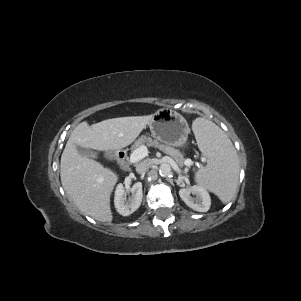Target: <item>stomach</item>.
Segmentation results:
<instances>
[{
	"mask_svg": "<svg viewBox=\"0 0 301 301\" xmlns=\"http://www.w3.org/2000/svg\"><path fill=\"white\" fill-rule=\"evenodd\" d=\"M149 128L156 140L174 147H184L190 133L185 118L171 109H160L154 113Z\"/></svg>",
	"mask_w": 301,
	"mask_h": 301,
	"instance_id": "obj_1",
	"label": "stomach"
}]
</instances>
